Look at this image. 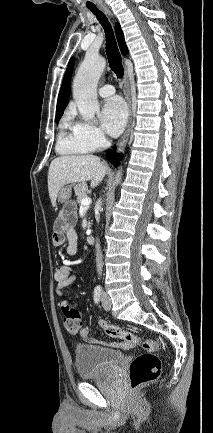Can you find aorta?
<instances>
[{
	"instance_id": "obj_1",
	"label": "aorta",
	"mask_w": 213,
	"mask_h": 433,
	"mask_svg": "<svg viewBox=\"0 0 213 433\" xmlns=\"http://www.w3.org/2000/svg\"><path fill=\"white\" fill-rule=\"evenodd\" d=\"M106 66L103 57L87 53L73 81V97L83 120L93 121L99 111L97 100V83ZM122 171L115 177L116 185L120 183Z\"/></svg>"
}]
</instances>
